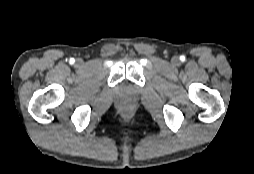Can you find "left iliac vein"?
Segmentation results:
<instances>
[{
    "mask_svg": "<svg viewBox=\"0 0 254 174\" xmlns=\"http://www.w3.org/2000/svg\"><path fill=\"white\" fill-rule=\"evenodd\" d=\"M172 61H173V63H177V62H178V59H177L176 57H174V58L172 59Z\"/></svg>",
    "mask_w": 254,
    "mask_h": 174,
    "instance_id": "4c4485c4",
    "label": "left iliac vein"
}]
</instances>
